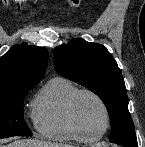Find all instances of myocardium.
Returning a JSON list of instances; mask_svg holds the SVG:
<instances>
[{"instance_id":"obj_1","label":"myocardium","mask_w":145,"mask_h":147,"mask_svg":"<svg viewBox=\"0 0 145 147\" xmlns=\"http://www.w3.org/2000/svg\"><path fill=\"white\" fill-rule=\"evenodd\" d=\"M83 94H87V95L92 96L100 104V106L103 109V112L105 115V126H104L103 130L97 134L86 133L83 130V128L78 120V117L76 114V102H77V99ZM67 110H68L69 119H70L72 125L74 126L75 130L78 133H80L81 135H83L87 141H93V140H98V139L102 138L106 134L108 129L110 128V124H111L110 110H109L106 102L103 100V98L99 94L94 92L93 90L78 89L76 92H74L68 101Z\"/></svg>"}]
</instances>
